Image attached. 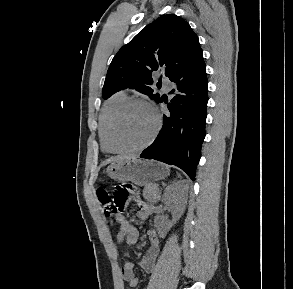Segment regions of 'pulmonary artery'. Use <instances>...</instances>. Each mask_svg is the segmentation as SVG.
<instances>
[{
	"label": "pulmonary artery",
	"instance_id": "1",
	"mask_svg": "<svg viewBox=\"0 0 293 289\" xmlns=\"http://www.w3.org/2000/svg\"><path fill=\"white\" fill-rule=\"evenodd\" d=\"M163 85H164L165 90H169L170 85H171L170 80L165 79V80L163 81Z\"/></svg>",
	"mask_w": 293,
	"mask_h": 289
}]
</instances>
